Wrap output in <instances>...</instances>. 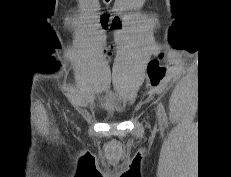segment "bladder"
Returning <instances> with one entry per match:
<instances>
[{
    "instance_id": "1",
    "label": "bladder",
    "mask_w": 231,
    "mask_h": 177,
    "mask_svg": "<svg viewBox=\"0 0 231 177\" xmlns=\"http://www.w3.org/2000/svg\"><path fill=\"white\" fill-rule=\"evenodd\" d=\"M100 106L109 114H117L120 111L116 97L111 93H104L99 97Z\"/></svg>"
}]
</instances>
